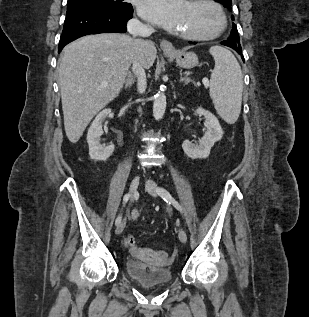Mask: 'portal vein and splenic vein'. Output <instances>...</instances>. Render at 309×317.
<instances>
[{"mask_svg":"<svg viewBox=\"0 0 309 317\" xmlns=\"http://www.w3.org/2000/svg\"><path fill=\"white\" fill-rule=\"evenodd\" d=\"M203 84H204L206 87H208V86H209L208 80H207V79H203Z\"/></svg>","mask_w":309,"mask_h":317,"instance_id":"obj_1","label":"portal vein and splenic vein"}]
</instances>
